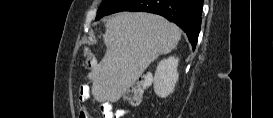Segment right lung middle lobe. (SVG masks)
<instances>
[{
	"instance_id": "1",
	"label": "right lung middle lobe",
	"mask_w": 273,
	"mask_h": 118,
	"mask_svg": "<svg viewBox=\"0 0 273 118\" xmlns=\"http://www.w3.org/2000/svg\"><path fill=\"white\" fill-rule=\"evenodd\" d=\"M123 0H103L99 10L97 11L96 20L105 15H109Z\"/></svg>"
}]
</instances>
